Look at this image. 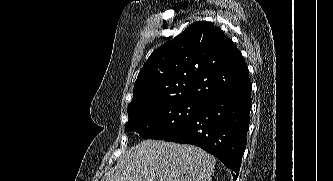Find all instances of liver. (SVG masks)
Listing matches in <instances>:
<instances>
[{"label": "liver", "mask_w": 333, "mask_h": 181, "mask_svg": "<svg viewBox=\"0 0 333 181\" xmlns=\"http://www.w3.org/2000/svg\"><path fill=\"white\" fill-rule=\"evenodd\" d=\"M215 164V157L197 146L145 140L101 181H211Z\"/></svg>", "instance_id": "1"}]
</instances>
